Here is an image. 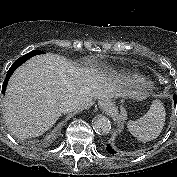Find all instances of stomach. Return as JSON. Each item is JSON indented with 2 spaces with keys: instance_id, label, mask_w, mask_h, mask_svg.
<instances>
[{
  "instance_id": "1",
  "label": "stomach",
  "mask_w": 177,
  "mask_h": 177,
  "mask_svg": "<svg viewBox=\"0 0 177 177\" xmlns=\"http://www.w3.org/2000/svg\"><path fill=\"white\" fill-rule=\"evenodd\" d=\"M101 104L104 106L105 109H111L112 108L111 98L103 99V102H101Z\"/></svg>"
}]
</instances>
